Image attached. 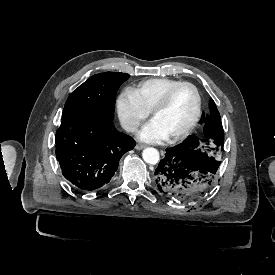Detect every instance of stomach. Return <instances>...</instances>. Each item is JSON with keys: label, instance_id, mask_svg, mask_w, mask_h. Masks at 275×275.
I'll return each mask as SVG.
<instances>
[{"label": "stomach", "instance_id": "1", "mask_svg": "<svg viewBox=\"0 0 275 275\" xmlns=\"http://www.w3.org/2000/svg\"><path fill=\"white\" fill-rule=\"evenodd\" d=\"M201 145L197 141H190L181 150L179 166L183 170H190L199 160Z\"/></svg>", "mask_w": 275, "mask_h": 275}]
</instances>
